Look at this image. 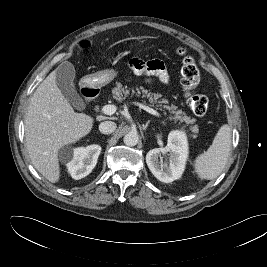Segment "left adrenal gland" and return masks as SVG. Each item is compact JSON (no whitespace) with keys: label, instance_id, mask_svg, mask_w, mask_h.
Masks as SVG:
<instances>
[{"label":"left adrenal gland","instance_id":"1","mask_svg":"<svg viewBox=\"0 0 267 267\" xmlns=\"http://www.w3.org/2000/svg\"><path fill=\"white\" fill-rule=\"evenodd\" d=\"M149 123H150V121H148L145 125L143 124V125H142V129H143V130H146L147 127H148V125H149Z\"/></svg>","mask_w":267,"mask_h":267}]
</instances>
